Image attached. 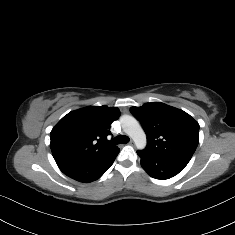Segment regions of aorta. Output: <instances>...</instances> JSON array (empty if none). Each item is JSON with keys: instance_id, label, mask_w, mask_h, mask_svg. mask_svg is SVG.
Here are the masks:
<instances>
[{"instance_id": "obj_1", "label": "aorta", "mask_w": 235, "mask_h": 235, "mask_svg": "<svg viewBox=\"0 0 235 235\" xmlns=\"http://www.w3.org/2000/svg\"><path fill=\"white\" fill-rule=\"evenodd\" d=\"M121 123L124 132L132 138L137 148H144L146 146V134L138 121L131 116H123Z\"/></svg>"}]
</instances>
